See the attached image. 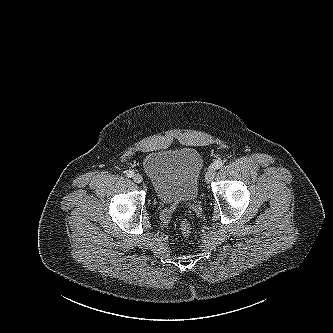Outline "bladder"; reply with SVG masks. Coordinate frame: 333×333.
<instances>
[{"label": "bladder", "instance_id": "bladder-1", "mask_svg": "<svg viewBox=\"0 0 333 333\" xmlns=\"http://www.w3.org/2000/svg\"><path fill=\"white\" fill-rule=\"evenodd\" d=\"M203 167L201 154L189 147L153 151L143 159L144 172L163 203L195 200Z\"/></svg>", "mask_w": 333, "mask_h": 333}]
</instances>
